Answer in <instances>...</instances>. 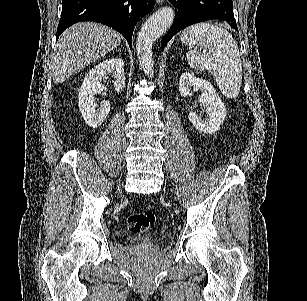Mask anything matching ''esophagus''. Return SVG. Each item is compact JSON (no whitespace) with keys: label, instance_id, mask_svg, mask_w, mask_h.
<instances>
[{"label":"esophagus","instance_id":"esophagus-1","mask_svg":"<svg viewBox=\"0 0 307 301\" xmlns=\"http://www.w3.org/2000/svg\"><path fill=\"white\" fill-rule=\"evenodd\" d=\"M164 0H156L157 3H162Z\"/></svg>","mask_w":307,"mask_h":301}]
</instances>
